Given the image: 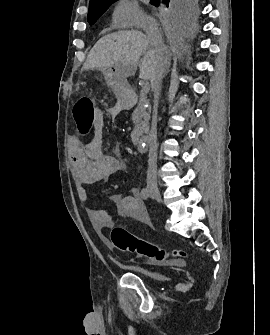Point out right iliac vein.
I'll return each mask as SVG.
<instances>
[{
  "instance_id": "obj_1",
  "label": "right iliac vein",
  "mask_w": 270,
  "mask_h": 335,
  "mask_svg": "<svg viewBox=\"0 0 270 335\" xmlns=\"http://www.w3.org/2000/svg\"><path fill=\"white\" fill-rule=\"evenodd\" d=\"M148 190H149V193H150V195H151V197H152L153 199H155V200L158 201V202H161V201H162L160 192H159V190H158V188H157L156 186H154V185H149V186H148Z\"/></svg>"
}]
</instances>
